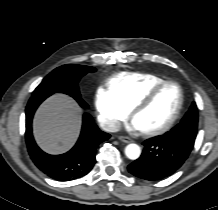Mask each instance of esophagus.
<instances>
[{
  "mask_svg": "<svg viewBox=\"0 0 218 210\" xmlns=\"http://www.w3.org/2000/svg\"><path fill=\"white\" fill-rule=\"evenodd\" d=\"M118 139L124 143H130L132 142V139L127 136H119Z\"/></svg>",
  "mask_w": 218,
  "mask_h": 210,
  "instance_id": "esophagus-1",
  "label": "esophagus"
}]
</instances>
